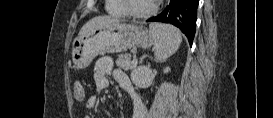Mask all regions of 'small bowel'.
Wrapping results in <instances>:
<instances>
[{
	"label": "small bowel",
	"mask_w": 273,
	"mask_h": 118,
	"mask_svg": "<svg viewBox=\"0 0 273 118\" xmlns=\"http://www.w3.org/2000/svg\"><path fill=\"white\" fill-rule=\"evenodd\" d=\"M112 75L118 84L125 90V92L130 96L133 102V109L131 113V118H144L145 109L144 105L136 93L132 82L129 77L121 70L115 69L113 66V61L110 57L99 58L94 66L93 79L95 82L96 90L102 91L108 86V76ZM98 98L96 95H91L86 101V108L91 110L97 106ZM107 118L111 117L109 112L105 113Z\"/></svg>",
	"instance_id": "1"
}]
</instances>
